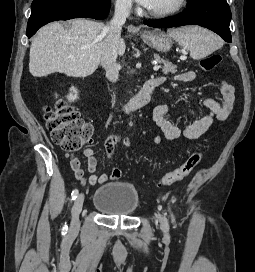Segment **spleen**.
Listing matches in <instances>:
<instances>
[{
  "mask_svg": "<svg viewBox=\"0 0 255 272\" xmlns=\"http://www.w3.org/2000/svg\"><path fill=\"white\" fill-rule=\"evenodd\" d=\"M181 47L189 50L193 59H201L222 47L219 37L211 31L198 27L186 26L168 31Z\"/></svg>",
  "mask_w": 255,
  "mask_h": 272,
  "instance_id": "1",
  "label": "spleen"
}]
</instances>
